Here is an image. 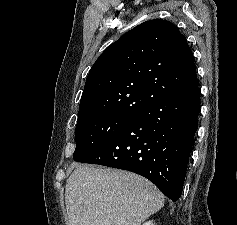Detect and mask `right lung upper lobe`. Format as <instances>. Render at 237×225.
Wrapping results in <instances>:
<instances>
[{"mask_svg": "<svg viewBox=\"0 0 237 225\" xmlns=\"http://www.w3.org/2000/svg\"><path fill=\"white\" fill-rule=\"evenodd\" d=\"M186 38L171 22L146 21L107 47L89 71L78 119L136 115L198 85Z\"/></svg>", "mask_w": 237, "mask_h": 225, "instance_id": "right-lung-upper-lobe-1", "label": "right lung upper lobe"}]
</instances>
